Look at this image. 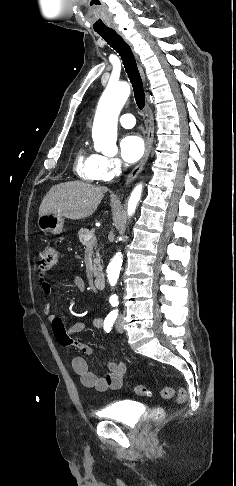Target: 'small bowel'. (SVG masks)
I'll use <instances>...</instances> for the list:
<instances>
[{
  "label": "small bowel",
  "instance_id": "1",
  "mask_svg": "<svg viewBox=\"0 0 236 486\" xmlns=\"http://www.w3.org/2000/svg\"><path fill=\"white\" fill-rule=\"evenodd\" d=\"M75 286L84 291L86 284L82 278L75 276ZM39 283L41 290L46 297H50L52 294V286L49 280L40 275ZM44 314L48 317V320L52 326L54 335L61 346H75L87 355H92V349L79 341L73 339V336L84 331L85 324L83 322H75L70 327L66 328L61 318L52 312V306L50 303H46L43 308ZM104 326V320L102 318H95L92 321V327L94 329H100ZM72 368L74 372L80 377L81 383L87 387L95 389L99 392H105L109 389L117 390L123 386L124 378L126 374V365L123 361L114 359L107 364L108 372L104 376H98L94 372L90 371L88 363L85 358L77 356L73 358Z\"/></svg>",
  "mask_w": 236,
  "mask_h": 486
}]
</instances>
